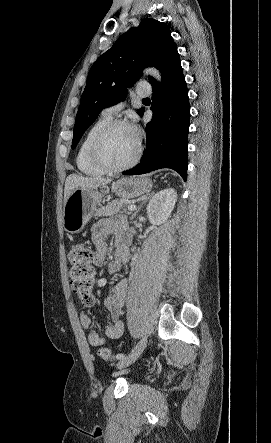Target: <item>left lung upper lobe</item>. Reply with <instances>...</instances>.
<instances>
[{
    "label": "left lung upper lobe",
    "mask_w": 271,
    "mask_h": 443,
    "mask_svg": "<svg viewBox=\"0 0 271 443\" xmlns=\"http://www.w3.org/2000/svg\"><path fill=\"white\" fill-rule=\"evenodd\" d=\"M176 45L169 26L143 19L121 35L91 67L74 126V149L86 129L107 106L125 99L145 67H156ZM142 109L138 110L140 114Z\"/></svg>",
    "instance_id": "1"
}]
</instances>
